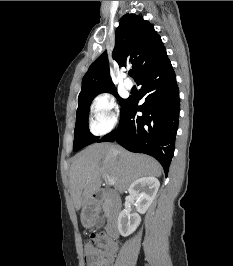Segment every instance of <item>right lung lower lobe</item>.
<instances>
[{"label":"right lung lower lobe","instance_id":"right-lung-lower-lobe-1","mask_svg":"<svg viewBox=\"0 0 233 266\" xmlns=\"http://www.w3.org/2000/svg\"><path fill=\"white\" fill-rule=\"evenodd\" d=\"M141 85V106L128 98L121 110L119 126L98 142L117 141L131 152L145 153L156 158L165 175L174 155L178 129L180 98L176 75L166 56L144 72L136 81ZM137 111L143 113L137 116Z\"/></svg>","mask_w":233,"mask_h":266}]
</instances>
